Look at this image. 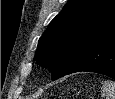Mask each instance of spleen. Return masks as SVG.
<instances>
[{"instance_id":"3e777b00","label":"spleen","mask_w":115,"mask_h":99,"mask_svg":"<svg viewBox=\"0 0 115 99\" xmlns=\"http://www.w3.org/2000/svg\"><path fill=\"white\" fill-rule=\"evenodd\" d=\"M101 91L105 99H115V82L111 80L102 82Z\"/></svg>"}]
</instances>
